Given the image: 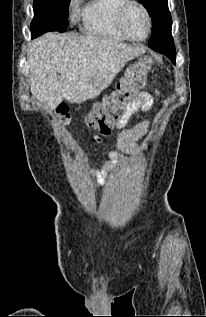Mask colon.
<instances>
[{
  "instance_id": "5ec220e1",
  "label": "colon",
  "mask_w": 206,
  "mask_h": 317,
  "mask_svg": "<svg viewBox=\"0 0 206 317\" xmlns=\"http://www.w3.org/2000/svg\"><path fill=\"white\" fill-rule=\"evenodd\" d=\"M152 66V59L143 58L128 67L116 89L97 103L88 114L86 124L94 132L96 141L99 142L102 137L109 135L121 121L128 104L138 96L140 90L146 85L148 72ZM58 112L67 122L69 119L67 108L61 106L58 108Z\"/></svg>"
}]
</instances>
